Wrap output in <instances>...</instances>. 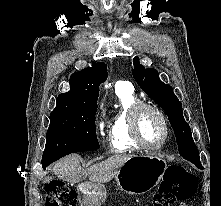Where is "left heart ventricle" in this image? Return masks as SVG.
Returning <instances> with one entry per match:
<instances>
[{"label": "left heart ventricle", "instance_id": "obj_1", "mask_svg": "<svg viewBox=\"0 0 221 206\" xmlns=\"http://www.w3.org/2000/svg\"><path fill=\"white\" fill-rule=\"evenodd\" d=\"M139 130L143 140L149 145H157L162 141L164 130L159 117L148 109L139 115Z\"/></svg>", "mask_w": 221, "mask_h": 206}]
</instances>
